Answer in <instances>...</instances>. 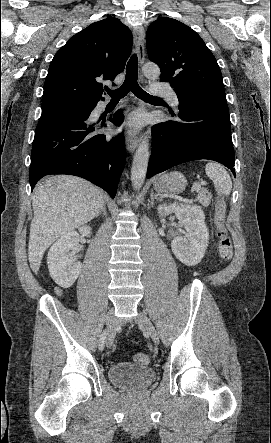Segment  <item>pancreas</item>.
Segmentation results:
<instances>
[{"label":"pancreas","mask_w":271,"mask_h":443,"mask_svg":"<svg viewBox=\"0 0 271 443\" xmlns=\"http://www.w3.org/2000/svg\"><path fill=\"white\" fill-rule=\"evenodd\" d=\"M199 204H202L204 208H207L210 204L211 200V194L208 192V190H201V192H198V198H197Z\"/></svg>","instance_id":"1"}]
</instances>
